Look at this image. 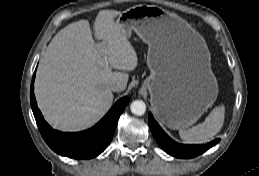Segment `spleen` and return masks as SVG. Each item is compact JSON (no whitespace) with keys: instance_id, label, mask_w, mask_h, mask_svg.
Masks as SVG:
<instances>
[{"instance_id":"obj_1","label":"spleen","mask_w":259,"mask_h":176,"mask_svg":"<svg viewBox=\"0 0 259 176\" xmlns=\"http://www.w3.org/2000/svg\"><path fill=\"white\" fill-rule=\"evenodd\" d=\"M225 117V106L215 107L206 117L203 123L194 126L189 130H180L181 139L189 144L207 143L220 132Z\"/></svg>"}]
</instances>
